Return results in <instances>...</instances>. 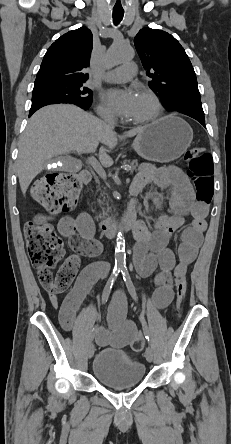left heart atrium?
<instances>
[{
	"label": "left heart atrium",
	"instance_id": "39dd6f15",
	"mask_svg": "<svg viewBox=\"0 0 231 444\" xmlns=\"http://www.w3.org/2000/svg\"><path fill=\"white\" fill-rule=\"evenodd\" d=\"M137 94L131 90L110 89L104 93L106 103L119 115L129 118L135 107Z\"/></svg>",
	"mask_w": 231,
	"mask_h": 444
}]
</instances>
